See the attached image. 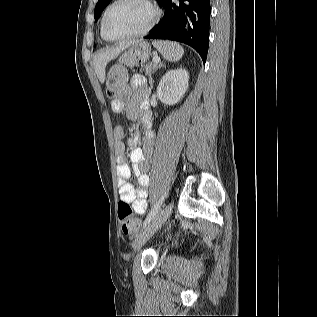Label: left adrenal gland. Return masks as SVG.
Segmentation results:
<instances>
[{"instance_id": "obj_1", "label": "left adrenal gland", "mask_w": 317, "mask_h": 317, "mask_svg": "<svg viewBox=\"0 0 317 317\" xmlns=\"http://www.w3.org/2000/svg\"><path fill=\"white\" fill-rule=\"evenodd\" d=\"M161 67H163L162 63L158 65V68H161ZM152 88H153V81H152V78L150 76V91H151Z\"/></svg>"}]
</instances>
